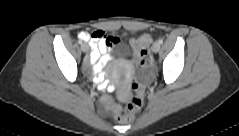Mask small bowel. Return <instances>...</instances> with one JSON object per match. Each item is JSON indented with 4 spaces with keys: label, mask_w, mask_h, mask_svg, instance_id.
<instances>
[{
    "label": "small bowel",
    "mask_w": 239,
    "mask_h": 136,
    "mask_svg": "<svg viewBox=\"0 0 239 136\" xmlns=\"http://www.w3.org/2000/svg\"><path fill=\"white\" fill-rule=\"evenodd\" d=\"M106 36L107 35L101 31H96L92 34L82 32L79 35L82 40L89 42L92 47L90 63L93 64V74L97 77L102 74L104 66L110 57V53L112 52L113 45L106 43ZM103 85L108 90L110 89V85L106 84L105 82ZM104 103L106 107L111 110H113L115 107L113 101L109 98H106Z\"/></svg>",
    "instance_id": "small-bowel-1"
}]
</instances>
